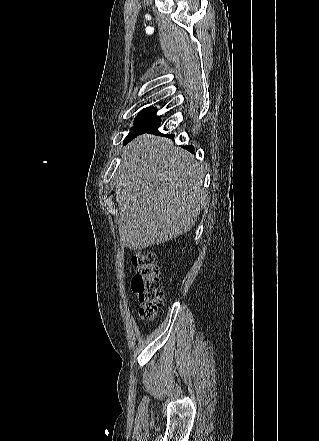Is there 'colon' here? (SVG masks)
<instances>
[{"label": "colon", "mask_w": 319, "mask_h": 441, "mask_svg": "<svg viewBox=\"0 0 319 441\" xmlns=\"http://www.w3.org/2000/svg\"><path fill=\"white\" fill-rule=\"evenodd\" d=\"M132 263L136 269L132 279V290L140 304V315L147 321H153L164 301L156 254L149 250L137 251L132 256Z\"/></svg>", "instance_id": "obj_1"}]
</instances>
